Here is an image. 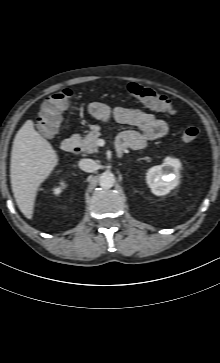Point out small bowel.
I'll return each mask as SVG.
<instances>
[{"label":"small bowel","mask_w":220,"mask_h":363,"mask_svg":"<svg viewBox=\"0 0 220 363\" xmlns=\"http://www.w3.org/2000/svg\"><path fill=\"white\" fill-rule=\"evenodd\" d=\"M88 112L93 118L103 122L132 125L139 129V131L125 130L119 134L117 147L122 149H142L148 141L162 138L169 131L168 124L164 120L157 118L152 112L140 109L110 108L103 103L94 102L89 105Z\"/></svg>","instance_id":"1"}]
</instances>
